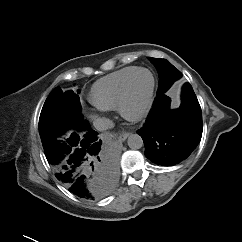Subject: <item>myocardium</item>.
Segmentation results:
<instances>
[{"instance_id":"myocardium-1","label":"myocardium","mask_w":242,"mask_h":242,"mask_svg":"<svg viewBox=\"0 0 242 242\" xmlns=\"http://www.w3.org/2000/svg\"><path fill=\"white\" fill-rule=\"evenodd\" d=\"M141 72H147L150 74L151 86L148 91L146 100H145L143 106L141 107V109L137 112H131L128 107L131 90H132V86H133V82H134L135 78ZM155 88H156V79H155V76L152 73V71H150L147 68H138L127 80L125 87L122 91L120 100H119L118 110H119L120 114L122 115V117L130 122H139V121L145 119L147 117V115L149 114V112L152 108V105H153Z\"/></svg>"}]
</instances>
